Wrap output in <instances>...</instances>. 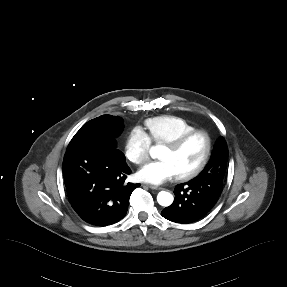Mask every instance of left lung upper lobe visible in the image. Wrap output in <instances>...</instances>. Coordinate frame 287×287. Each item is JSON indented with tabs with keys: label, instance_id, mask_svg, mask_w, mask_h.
I'll use <instances>...</instances> for the list:
<instances>
[{
	"label": "left lung upper lobe",
	"instance_id": "left-lung-upper-lobe-1",
	"mask_svg": "<svg viewBox=\"0 0 287 287\" xmlns=\"http://www.w3.org/2000/svg\"><path fill=\"white\" fill-rule=\"evenodd\" d=\"M228 159V148L226 141L220 137L215 144L211 159L205 169L191 181L199 184L205 189L212 182L223 186Z\"/></svg>",
	"mask_w": 287,
	"mask_h": 287
}]
</instances>
